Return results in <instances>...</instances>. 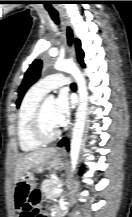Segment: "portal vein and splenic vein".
<instances>
[{"label": "portal vein and splenic vein", "instance_id": "18ae733b", "mask_svg": "<svg viewBox=\"0 0 132 217\" xmlns=\"http://www.w3.org/2000/svg\"><path fill=\"white\" fill-rule=\"evenodd\" d=\"M63 191V189L61 188V185L59 188L54 190V193H61Z\"/></svg>", "mask_w": 132, "mask_h": 217}]
</instances>
